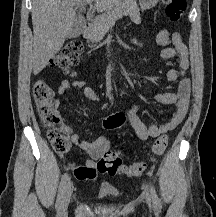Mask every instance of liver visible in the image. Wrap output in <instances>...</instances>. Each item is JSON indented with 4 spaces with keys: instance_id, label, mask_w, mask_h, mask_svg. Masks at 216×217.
Here are the masks:
<instances>
[{
    "instance_id": "1",
    "label": "liver",
    "mask_w": 216,
    "mask_h": 217,
    "mask_svg": "<svg viewBox=\"0 0 216 217\" xmlns=\"http://www.w3.org/2000/svg\"><path fill=\"white\" fill-rule=\"evenodd\" d=\"M98 12L113 9L122 0H93ZM85 0H33V73L37 75L63 46L77 21L73 7Z\"/></svg>"
}]
</instances>
